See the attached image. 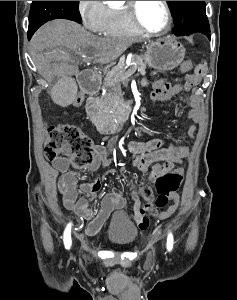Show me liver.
<instances>
[{
    "instance_id": "obj_1",
    "label": "liver",
    "mask_w": 237,
    "mask_h": 300,
    "mask_svg": "<svg viewBox=\"0 0 237 300\" xmlns=\"http://www.w3.org/2000/svg\"><path fill=\"white\" fill-rule=\"evenodd\" d=\"M133 39H104L74 23L56 19L40 27L30 41L31 57L43 77L78 75L81 61L113 63L131 47Z\"/></svg>"
}]
</instances>
